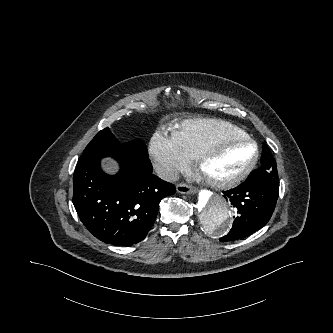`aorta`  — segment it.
<instances>
[{
	"mask_svg": "<svg viewBox=\"0 0 333 333\" xmlns=\"http://www.w3.org/2000/svg\"><path fill=\"white\" fill-rule=\"evenodd\" d=\"M195 215L200 226L212 235L223 233L230 224V205L217 192H200L194 202Z\"/></svg>",
	"mask_w": 333,
	"mask_h": 333,
	"instance_id": "762f6f07",
	"label": "aorta"
}]
</instances>
